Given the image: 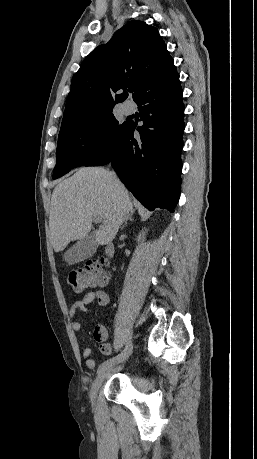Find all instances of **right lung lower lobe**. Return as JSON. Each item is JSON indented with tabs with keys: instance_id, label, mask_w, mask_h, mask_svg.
Listing matches in <instances>:
<instances>
[{
	"instance_id": "obj_1",
	"label": "right lung lower lobe",
	"mask_w": 257,
	"mask_h": 459,
	"mask_svg": "<svg viewBox=\"0 0 257 459\" xmlns=\"http://www.w3.org/2000/svg\"><path fill=\"white\" fill-rule=\"evenodd\" d=\"M179 75L136 101L143 125L140 138H134L136 125L128 122L111 149L84 166L111 163L120 180L150 211L155 208L174 212L181 185L184 105Z\"/></svg>"
}]
</instances>
